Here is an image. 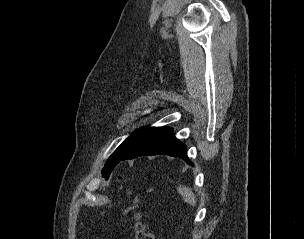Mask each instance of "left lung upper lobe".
<instances>
[{"instance_id": "1", "label": "left lung upper lobe", "mask_w": 304, "mask_h": 239, "mask_svg": "<svg viewBox=\"0 0 304 239\" xmlns=\"http://www.w3.org/2000/svg\"><path fill=\"white\" fill-rule=\"evenodd\" d=\"M157 129L158 128L156 127H147L140 129L134 132L125 141H123V143L113 152V154L107 160L102 170L103 177L108 179L114 167L120 162V159L125 154H127L135 145L155 132Z\"/></svg>"}]
</instances>
